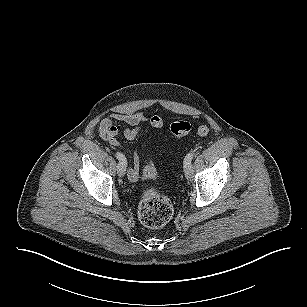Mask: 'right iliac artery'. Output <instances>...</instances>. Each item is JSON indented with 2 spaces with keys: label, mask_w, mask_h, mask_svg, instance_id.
I'll use <instances>...</instances> for the list:
<instances>
[{
  "label": "right iliac artery",
  "mask_w": 307,
  "mask_h": 307,
  "mask_svg": "<svg viewBox=\"0 0 307 307\" xmlns=\"http://www.w3.org/2000/svg\"><path fill=\"white\" fill-rule=\"evenodd\" d=\"M115 156L117 157V159L119 160V162H120L122 165H124L125 168H126L127 161H126L125 156H124L122 153H120V152H116V153H115Z\"/></svg>",
  "instance_id": "1"
}]
</instances>
